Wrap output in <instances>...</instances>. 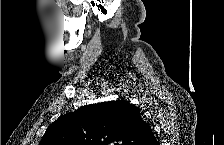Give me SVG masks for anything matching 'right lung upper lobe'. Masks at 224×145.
<instances>
[{
    "instance_id": "obj_1",
    "label": "right lung upper lobe",
    "mask_w": 224,
    "mask_h": 145,
    "mask_svg": "<svg viewBox=\"0 0 224 145\" xmlns=\"http://www.w3.org/2000/svg\"><path fill=\"white\" fill-rule=\"evenodd\" d=\"M40 145H158L151 127L128 101L86 105L59 117Z\"/></svg>"
}]
</instances>
